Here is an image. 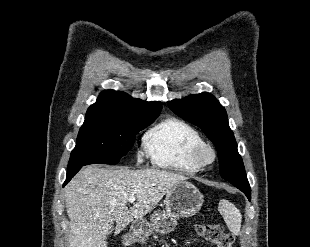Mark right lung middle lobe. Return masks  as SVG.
I'll use <instances>...</instances> for the list:
<instances>
[{"mask_svg": "<svg viewBox=\"0 0 310 247\" xmlns=\"http://www.w3.org/2000/svg\"><path fill=\"white\" fill-rule=\"evenodd\" d=\"M157 117L129 119L86 115L67 169L96 163H118L131 149L136 134Z\"/></svg>", "mask_w": 310, "mask_h": 247, "instance_id": "1", "label": "right lung middle lobe"}]
</instances>
